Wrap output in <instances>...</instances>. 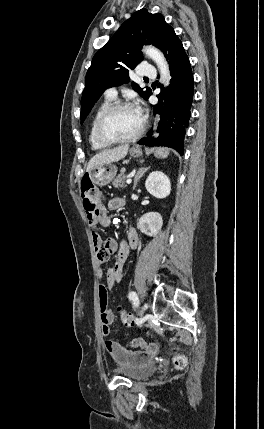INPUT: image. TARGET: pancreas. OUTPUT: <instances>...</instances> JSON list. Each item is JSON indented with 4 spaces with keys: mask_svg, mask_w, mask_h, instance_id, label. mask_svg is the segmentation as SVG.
Here are the masks:
<instances>
[{
    "mask_svg": "<svg viewBox=\"0 0 264 429\" xmlns=\"http://www.w3.org/2000/svg\"><path fill=\"white\" fill-rule=\"evenodd\" d=\"M125 179H126V175L124 174V172H121L116 178L112 180V185L115 188H124L126 187Z\"/></svg>",
    "mask_w": 264,
    "mask_h": 429,
    "instance_id": "obj_1",
    "label": "pancreas"
}]
</instances>
